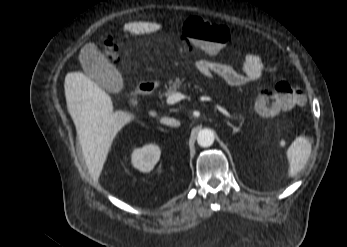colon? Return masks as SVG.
Here are the masks:
<instances>
[{
    "instance_id": "5ec220e1",
    "label": "colon",
    "mask_w": 347,
    "mask_h": 247,
    "mask_svg": "<svg viewBox=\"0 0 347 247\" xmlns=\"http://www.w3.org/2000/svg\"><path fill=\"white\" fill-rule=\"evenodd\" d=\"M184 36L197 48L216 55L232 40V32L226 26L207 21L199 17L189 18L184 25ZM105 53L113 61L119 56L114 40L105 42ZM303 90L292 83L280 82L274 88L263 89L255 103L257 113L265 117H274L279 112L293 110L303 103Z\"/></svg>"
}]
</instances>
